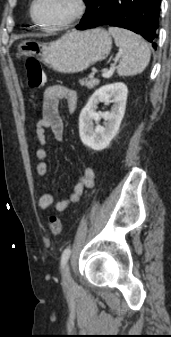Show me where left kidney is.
Instances as JSON below:
<instances>
[{"label":"left kidney","instance_id":"5707ae66","mask_svg":"<svg viewBox=\"0 0 171 337\" xmlns=\"http://www.w3.org/2000/svg\"><path fill=\"white\" fill-rule=\"evenodd\" d=\"M128 89L124 83H113L97 89L90 97L79 116V134L84 145L93 150L105 149L116 136L124 117ZM100 102L113 103L110 112H96ZM104 118V126L96 125Z\"/></svg>","mask_w":171,"mask_h":337}]
</instances>
